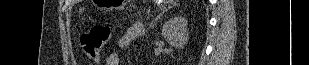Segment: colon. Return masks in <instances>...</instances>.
I'll return each instance as SVG.
<instances>
[{
    "label": "colon",
    "mask_w": 309,
    "mask_h": 65,
    "mask_svg": "<svg viewBox=\"0 0 309 65\" xmlns=\"http://www.w3.org/2000/svg\"><path fill=\"white\" fill-rule=\"evenodd\" d=\"M114 28L109 25H95L80 35L84 54L93 62H99L104 47L111 41Z\"/></svg>",
    "instance_id": "5ec220e1"
}]
</instances>
